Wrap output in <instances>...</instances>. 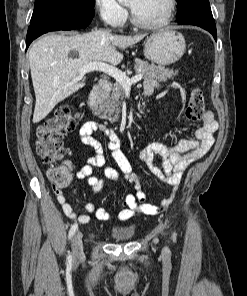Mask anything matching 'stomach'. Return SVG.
<instances>
[{"instance_id":"1","label":"stomach","mask_w":247,"mask_h":296,"mask_svg":"<svg viewBox=\"0 0 247 296\" xmlns=\"http://www.w3.org/2000/svg\"><path fill=\"white\" fill-rule=\"evenodd\" d=\"M184 36L173 29H165L147 37L144 43V55L158 65H170L177 62L185 53Z\"/></svg>"}]
</instances>
